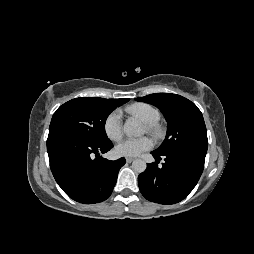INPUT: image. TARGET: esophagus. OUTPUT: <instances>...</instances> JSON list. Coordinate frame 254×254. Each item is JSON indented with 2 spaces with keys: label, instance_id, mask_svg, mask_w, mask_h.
<instances>
[{
  "label": "esophagus",
  "instance_id": "obj_1",
  "mask_svg": "<svg viewBox=\"0 0 254 254\" xmlns=\"http://www.w3.org/2000/svg\"><path fill=\"white\" fill-rule=\"evenodd\" d=\"M134 160V158L126 157V162L131 163Z\"/></svg>",
  "mask_w": 254,
  "mask_h": 254
}]
</instances>
